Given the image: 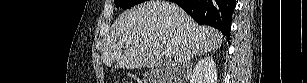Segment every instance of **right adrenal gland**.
<instances>
[{
  "mask_svg": "<svg viewBox=\"0 0 307 83\" xmlns=\"http://www.w3.org/2000/svg\"><path fill=\"white\" fill-rule=\"evenodd\" d=\"M203 54H199V55H197V56H202Z\"/></svg>",
  "mask_w": 307,
  "mask_h": 83,
  "instance_id": "obj_1",
  "label": "right adrenal gland"
}]
</instances>
